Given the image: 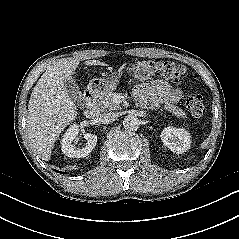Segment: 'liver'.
Listing matches in <instances>:
<instances>
[{
	"mask_svg": "<svg viewBox=\"0 0 239 239\" xmlns=\"http://www.w3.org/2000/svg\"><path fill=\"white\" fill-rule=\"evenodd\" d=\"M78 65L79 60L70 58L48 67L31 93L27 131L42 160H50L57 137L77 117L76 104L64 89V82L73 79ZM85 65L106 64L87 60Z\"/></svg>",
	"mask_w": 239,
	"mask_h": 239,
	"instance_id": "obj_1",
	"label": "liver"
}]
</instances>
